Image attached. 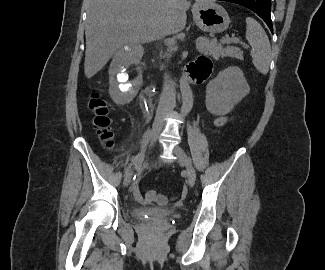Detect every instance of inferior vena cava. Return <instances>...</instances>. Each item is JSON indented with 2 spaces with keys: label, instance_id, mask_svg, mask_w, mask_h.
<instances>
[{
  "label": "inferior vena cava",
  "instance_id": "602c4592",
  "mask_svg": "<svg viewBox=\"0 0 325 270\" xmlns=\"http://www.w3.org/2000/svg\"><path fill=\"white\" fill-rule=\"evenodd\" d=\"M176 93L169 76H165L163 92L156 112V121H162L163 118L173 110L175 106Z\"/></svg>",
  "mask_w": 325,
  "mask_h": 270
}]
</instances>
